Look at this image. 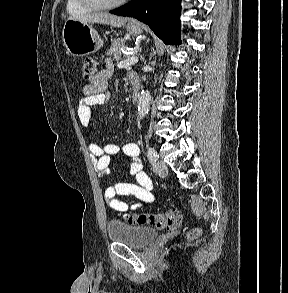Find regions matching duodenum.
<instances>
[{"mask_svg": "<svg viewBox=\"0 0 288 293\" xmlns=\"http://www.w3.org/2000/svg\"><path fill=\"white\" fill-rule=\"evenodd\" d=\"M131 85H132V101L136 103L140 96V81L138 77H131Z\"/></svg>", "mask_w": 288, "mask_h": 293, "instance_id": "1", "label": "duodenum"}]
</instances>
